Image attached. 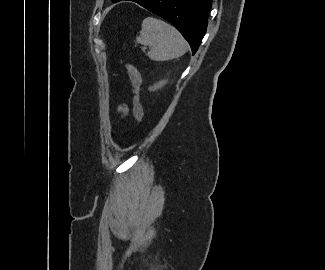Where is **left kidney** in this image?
Here are the masks:
<instances>
[{
  "instance_id": "left-kidney-1",
  "label": "left kidney",
  "mask_w": 325,
  "mask_h": 270,
  "mask_svg": "<svg viewBox=\"0 0 325 270\" xmlns=\"http://www.w3.org/2000/svg\"><path fill=\"white\" fill-rule=\"evenodd\" d=\"M167 83V80H161L154 84L153 86L149 87L150 91H155L157 89H161L165 84Z\"/></svg>"
}]
</instances>
